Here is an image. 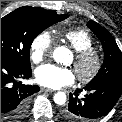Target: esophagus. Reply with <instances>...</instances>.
<instances>
[{
	"mask_svg": "<svg viewBox=\"0 0 122 122\" xmlns=\"http://www.w3.org/2000/svg\"><path fill=\"white\" fill-rule=\"evenodd\" d=\"M41 91H42V92H48V93H54V92H55L54 90L49 89V88H45V87H42V88H41Z\"/></svg>",
	"mask_w": 122,
	"mask_h": 122,
	"instance_id": "esophagus-1",
	"label": "esophagus"
}]
</instances>
